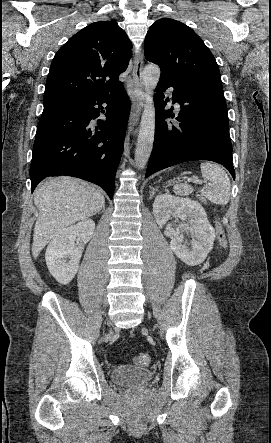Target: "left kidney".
Segmentation results:
<instances>
[{"mask_svg":"<svg viewBox=\"0 0 271 443\" xmlns=\"http://www.w3.org/2000/svg\"><path fill=\"white\" fill-rule=\"evenodd\" d=\"M153 214L158 225H164L171 216H177L186 222L189 229L191 247L184 241V235L171 237L170 245L177 257L186 265H199L206 259L213 247L215 229L208 222L207 214L199 202L189 198H173V196H157L153 204Z\"/></svg>","mask_w":271,"mask_h":443,"instance_id":"obj_1","label":"left kidney"}]
</instances>
